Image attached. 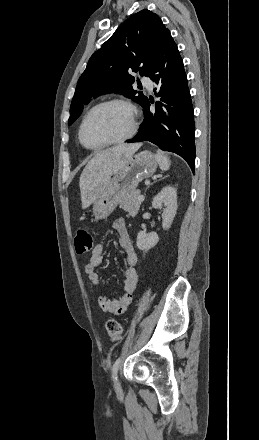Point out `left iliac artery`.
<instances>
[{"label": "left iliac artery", "mask_w": 259, "mask_h": 440, "mask_svg": "<svg viewBox=\"0 0 259 440\" xmlns=\"http://www.w3.org/2000/svg\"><path fill=\"white\" fill-rule=\"evenodd\" d=\"M119 363H120V358H118L115 361V363L113 364V367H112V378H113V380H115L116 377H117V371H118V368H119Z\"/></svg>", "instance_id": "left-iliac-artery-1"}]
</instances>
